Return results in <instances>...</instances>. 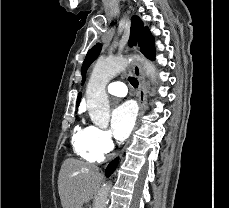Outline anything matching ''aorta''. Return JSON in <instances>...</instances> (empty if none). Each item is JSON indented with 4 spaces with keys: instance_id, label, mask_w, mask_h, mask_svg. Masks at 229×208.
Listing matches in <instances>:
<instances>
[{
    "instance_id": "obj_1",
    "label": "aorta",
    "mask_w": 229,
    "mask_h": 208,
    "mask_svg": "<svg viewBox=\"0 0 229 208\" xmlns=\"http://www.w3.org/2000/svg\"><path fill=\"white\" fill-rule=\"evenodd\" d=\"M145 74L155 80L156 68L149 60L139 57ZM129 61L125 58H110L96 63L86 88L87 109L94 124L106 128L110 120V105L106 94L107 83L125 70ZM111 183L104 184L98 191L93 208H107Z\"/></svg>"
}]
</instances>
